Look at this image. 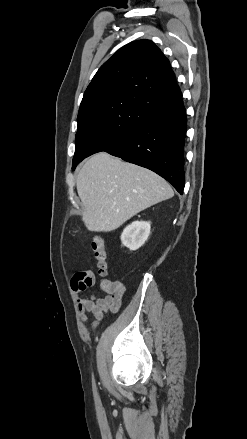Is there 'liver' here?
<instances>
[{"mask_svg": "<svg viewBox=\"0 0 247 439\" xmlns=\"http://www.w3.org/2000/svg\"><path fill=\"white\" fill-rule=\"evenodd\" d=\"M76 184L82 220L94 232L116 230L140 211L174 196L169 183L156 173L106 152L85 162Z\"/></svg>", "mask_w": 247, "mask_h": 439, "instance_id": "liver-1", "label": "liver"}]
</instances>
